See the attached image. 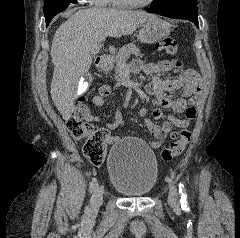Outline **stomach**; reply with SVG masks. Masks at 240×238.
<instances>
[{
  "label": "stomach",
  "instance_id": "obj_1",
  "mask_svg": "<svg viewBox=\"0 0 240 238\" xmlns=\"http://www.w3.org/2000/svg\"><path fill=\"white\" fill-rule=\"evenodd\" d=\"M171 25L159 18L146 22L139 30V39L142 43L152 44L169 35Z\"/></svg>",
  "mask_w": 240,
  "mask_h": 238
}]
</instances>
